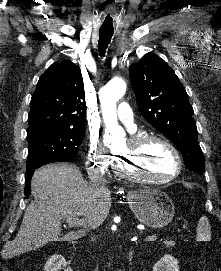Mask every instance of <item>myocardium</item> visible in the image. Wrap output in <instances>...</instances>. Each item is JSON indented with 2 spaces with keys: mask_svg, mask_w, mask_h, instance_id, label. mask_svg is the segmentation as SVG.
<instances>
[{
  "mask_svg": "<svg viewBox=\"0 0 221 271\" xmlns=\"http://www.w3.org/2000/svg\"><path fill=\"white\" fill-rule=\"evenodd\" d=\"M148 137H133L132 140L128 141L129 145H126V150H131V153H139L140 148L142 145H158V147H165V150H167V155H170L171 157V164H173V169L175 170L174 173L167 177H153L150 176L147 172L143 174V170L140 172L138 169L140 168L139 165H135L132 167L131 165L128 167L130 170H128L126 167L122 170V163L125 161L123 158H111V171L117 172L114 174V177L116 176H122L125 178H149V183L151 184H165L166 178H178L184 170L182 165H178L179 159H178V150L174 149L175 145H171V142H169V137L162 135L157 132H147ZM121 162V163H120ZM134 168L137 169L139 173H134L131 169Z\"/></svg>",
  "mask_w": 221,
  "mask_h": 271,
  "instance_id": "myocardium-1",
  "label": "myocardium"
}]
</instances>
